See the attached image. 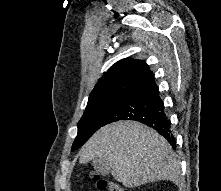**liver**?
Returning a JSON list of instances; mask_svg holds the SVG:
<instances>
[{
    "label": "liver",
    "instance_id": "6515ba94",
    "mask_svg": "<svg viewBox=\"0 0 221 191\" xmlns=\"http://www.w3.org/2000/svg\"><path fill=\"white\" fill-rule=\"evenodd\" d=\"M107 162L112 176L125 187L158 180L179 184L180 163L155 130L136 121H118L100 128L81 149L79 162Z\"/></svg>",
    "mask_w": 221,
    "mask_h": 191
}]
</instances>
